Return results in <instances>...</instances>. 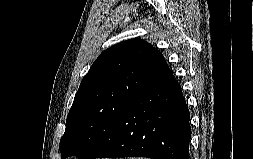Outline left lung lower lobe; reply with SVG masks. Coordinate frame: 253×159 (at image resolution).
<instances>
[{"label":"left lung lower lobe","mask_w":253,"mask_h":159,"mask_svg":"<svg viewBox=\"0 0 253 159\" xmlns=\"http://www.w3.org/2000/svg\"><path fill=\"white\" fill-rule=\"evenodd\" d=\"M189 119L181 88L167 67L125 106L95 158L189 159Z\"/></svg>","instance_id":"left-lung-lower-lobe-1"}]
</instances>
